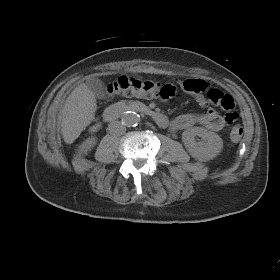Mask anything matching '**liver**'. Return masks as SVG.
Here are the masks:
<instances>
[{
    "label": "liver",
    "mask_w": 280,
    "mask_h": 280,
    "mask_svg": "<svg viewBox=\"0 0 280 280\" xmlns=\"http://www.w3.org/2000/svg\"><path fill=\"white\" fill-rule=\"evenodd\" d=\"M97 102L94 93L82 83L68 96L62 110V135L65 143H73L94 119Z\"/></svg>",
    "instance_id": "1"
}]
</instances>
